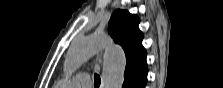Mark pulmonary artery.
I'll list each match as a JSON object with an SVG mask.
<instances>
[{
    "label": "pulmonary artery",
    "instance_id": "e3ab8cb5",
    "mask_svg": "<svg viewBox=\"0 0 223 88\" xmlns=\"http://www.w3.org/2000/svg\"><path fill=\"white\" fill-rule=\"evenodd\" d=\"M72 84L77 88H88L92 85V81L87 73H79L73 78Z\"/></svg>",
    "mask_w": 223,
    "mask_h": 88
}]
</instances>
